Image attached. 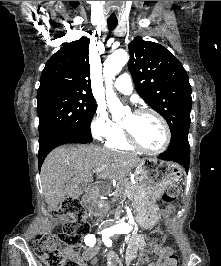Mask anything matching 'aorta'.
Returning a JSON list of instances; mask_svg holds the SVG:
<instances>
[{"mask_svg":"<svg viewBox=\"0 0 221 266\" xmlns=\"http://www.w3.org/2000/svg\"><path fill=\"white\" fill-rule=\"evenodd\" d=\"M128 59V53L123 49H119L109 55L104 63L103 74L106 84V98L108 108L112 113L113 119H118L125 113V108L112 89V81L121 71L123 66L128 62ZM132 228V225L128 223H120L109 227V229L113 232H128Z\"/></svg>","mask_w":221,"mask_h":266,"instance_id":"762f6f07","label":"aorta"}]
</instances>
